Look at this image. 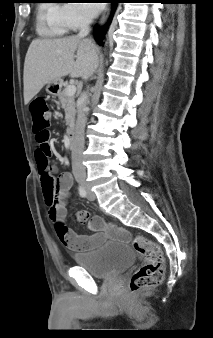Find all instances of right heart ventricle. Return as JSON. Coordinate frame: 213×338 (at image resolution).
I'll return each mask as SVG.
<instances>
[{
	"label": "right heart ventricle",
	"mask_w": 213,
	"mask_h": 338,
	"mask_svg": "<svg viewBox=\"0 0 213 338\" xmlns=\"http://www.w3.org/2000/svg\"><path fill=\"white\" fill-rule=\"evenodd\" d=\"M39 15L38 31L40 34L49 37H56L65 34L68 27L61 19V7L54 4H43Z\"/></svg>",
	"instance_id": "e07e8e85"
}]
</instances>
